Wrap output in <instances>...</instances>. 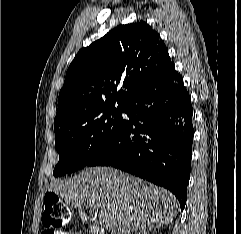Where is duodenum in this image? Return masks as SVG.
Wrapping results in <instances>:
<instances>
[{
  "label": "duodenum",
  "mask_w": 241,
  "mask_h": 234,
  "mask_svg": "<svg viewBox=\"0 0 241 234\" xmlns=\"http://www.w3.org/2000/svg\"><path fill=\"white\" fill-rule=\"evenodd\" d=\"M92 234H104L101 228L93 226L90 228Z\"/></svg>",
  "instance_id": "1"
}]
</instances>
